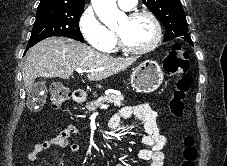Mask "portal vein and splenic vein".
Masks as SVG:
<instances>
[{
    "instance_id": "portal-vein-and-splenic-vein-1",
    "label": "portal vein and splenic vein",
    "mask_w": 227,
    "mask_h": 166,
    "mask_svg": "<svg viewBox=\"0 0 227 166\" xmlns=\"http://www.w3.org/2000/svg\"><path fill=\"white\" fill-rule=\"evenodd\" d=\"M76 72L79 73V74H82V73L88 72V71H84V70H82V69L77 68V69H76ZM100 108H101V109H107V108H108V105H102Z\"/></svg>"
}]
</instances>
